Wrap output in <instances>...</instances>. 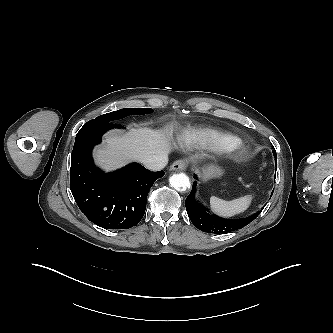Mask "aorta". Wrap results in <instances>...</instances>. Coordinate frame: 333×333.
Listing matches in <instances>:
<instances>
[{"label": "aorta", "instance_id": "obj_1", "mask_svg": "<svg viewBox=\"0 0 333 333\" xmlns=\"http://www.w3.org/2000/svg\"><path fill=\"white\" fill-rule=\"evenodd\" d=\"M169 183L171 187L177 190L186 191L190 188L189 178L184 173L174 174L169 178Z\"/></svg>", "mask_w": 333, "mask_h": 333}]
</instances>
